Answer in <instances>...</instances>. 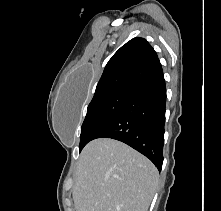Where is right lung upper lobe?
I'll list each match as a JSON object with an SVG mask.
<instances>
[{"label":"right lung upper lobe","instance_id":"right-lung-upper-lobe-1","mask_svg":"<svg viewBox=\"0 0 221 211\" xmlns=\"http://www.w3.org/2000/svg\"><path fill=\"white\" fill-rule=\"evenodd\" d=\"M162 77L163 70L154 49L145 39L134 38L109 60L94 96L117 88L135 90Z\"/></svg>","mask_w":221,"mask_h":211}]
</instances>
